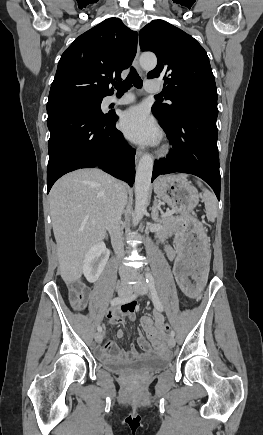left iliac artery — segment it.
<instances>
[{"label": "left iliac artery", "mask_w": 263, "mask_h": 435, "mask_svg": "<svg viewBox=\"0 0 263 435\" xmlns=\"http://www.w3.org/2000/svg\"><path fill=\"white\" fill-rule=\"evenodd\" d=\"M146 282L148 283L149 289H150V293H151V298L153 301V304L155 306V308L159 311H163V306L162 303L159 300L156 288H155V283H154V278L152 276L151 273L147 272L146 274ZM170 336L174 337L175 336V332L174 330H172L170 332Z\"/></svg>", "instance_id": "1"}]
</instances>
